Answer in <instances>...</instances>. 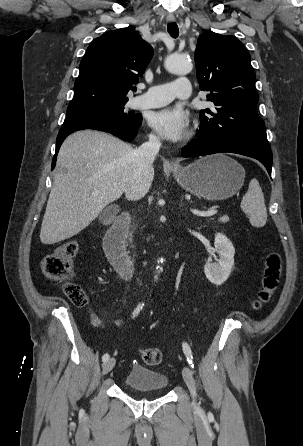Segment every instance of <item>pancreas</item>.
Masks as SVG:
<instances>
[{"label":"pancreas","mask_w":303,"mask_h":446,"mask_svg":"<svg viewBox=\"0 0 303 446\" xmlns=\"http://www.w3.org/2000/svg\"><path fill=\"white\" fill-rule=\"evenodd\" d=\"M219 221L222 222V223H226V222L228 221V217L223 216V217H221V218L219 219Z\"/></svg>","instance_id":"cf45deb5"}]
</instances>
